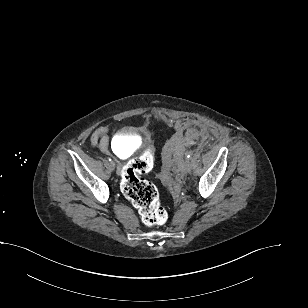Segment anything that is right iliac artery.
I'll return each mask as SVG.
<instances>
[{
	"label": "right iliac artery",
	"instance_id": "right-iliac-artery-1",
	"mask_svg": "<svg viewBox=\"0 0 308 308\" xmlns=\"http://www.w3.org/2000/svg\"><path fill=\"white\" fill-rule=\"evenodd\" d=\"M108 160H109V161H112V159H111V158H109Z\"/></svg>",
	"mask_w": 308,
	"mask_h": 308
}]
</instances>
